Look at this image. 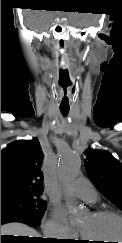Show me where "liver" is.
Segmentation results:
<instances>
[{
	"label": "liver",
	"instance_id": "1",
	"mask_svg": "<svg viewBox=\"0 0 122 243\" xmlns=\"http://www.w3.org/2000/svg\"><path fill=\"white\" fill-rule=\"evenodd\" d=\"M1 235L40 237L39 233L33 228L22 223H7L1 226ZM38 239V238H32ZM31 241V240H29Z\"/></svg>",
	"mask_w": 122,
	"mask_h": 243
}]
</instances>
